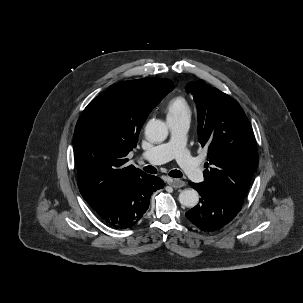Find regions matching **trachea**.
Returning a JSON list of instances; mask_svg holds the SVG:
<instances>
[{
    "label": "trachea",
    "mask_w": 303,
    "mask_h": 303,
    "mask_svg": "<svg viewBox=\"0 0 303 303\" xmlns=\"http://www.w3.org/2000/svg\"><path fill=\"white\" fill-rule=\"evenodd\" d=\"M144 171L151 173V174H156L157 170L155 167L153 166H146L143 168ZM169 176L173 177V178H181L182 177V173L179 170H172L169 172Z\"/></svg>",
    "instance_id": "obj_1"
}]
</instances>
